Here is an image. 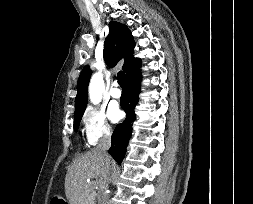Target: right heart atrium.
I'll return each instance as SVG.
<instances>
[{
	"label": "right heart atrium",
	"mask_w": 253,
	"mask_h": 204,
	"mask_svg": "<svg viewBox=\"0 0 253 204\" xmlns=\"http://www.w3.org/2000/svg\"><path fill=\"white\" fill-rule=\"evenodd\" d=\"M82 124L89 145H96L101 140L109 138L113 132L104 110L95 106L86 108L82 116Z\"/></svg>",
	"instance_id": "obj_1"
}]
</instances>
